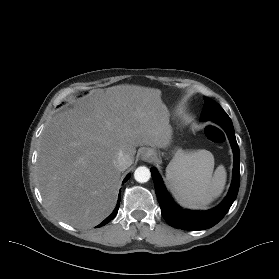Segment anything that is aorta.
I'll return each mask as SVG.
<instances>
[{"label": "aorta", "mask_w": 279, "mask_h": 279, "mask_svg": "<svg viewBox=\"0 0 279 279\" xmlns=\"http://www.w3.org/2000/svg\"><path fill=\"white\" fill-rule=\"evenodd\" d=\"M151 177L150 170L145 166L138 167L134 172V178L139 183L147 182Z\"/></svg>", "instance_id": "1"}]
</instances>
